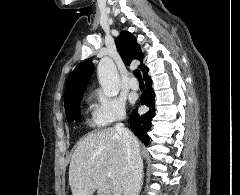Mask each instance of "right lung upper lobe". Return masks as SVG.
<instances>
[{
	"label": "right lung upper lobe",
	"instance_id": "cb5924a9",
	"mask_svg": "<svg viewBox=\"0 0 240 195\" xmlns=\"http://www.w3.org/2000/svg\"><path fill=\"white\" fill-rule=\"evenodd\" d=\"M116 46L119 53L126 64H130L133 60L141 61L139 66L143 72L144 80L148 79V68L142 63L143 54L139 53L140 45L136 38L127 31H122L121 35L116 39ZM93 63L90 59L79 64L69 75L64 92L65 106L71 102L82 98L87 83L93 73Z\"/></svg>",
	"mask_w": 240,
	"mask_h": 195
}]
</instances>
